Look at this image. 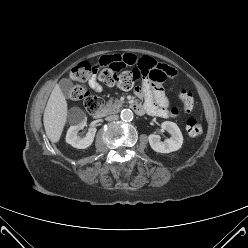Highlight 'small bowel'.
<instances>
[{"instance_id":"obj_1","label":"small bowel","mask_w":248,"mask_h":248,"mask_svg":"<svg viewBox=\"0 0 248 248\" xmlns=\"http://www.w3.org/2000/svg\"><path fill=\"white\" fill-rule=\"evenodd\" d=\"M100 63L107 65L113 69H123L130 67H138L143 72H155L157 78L172 77L176 75L173 68L158 63L151 57H138L134 53L126 52L122 54L107 55L101 58ZM89 86L96 92L102 91V85L98 82L95 76L88 80ZM138 97L144 100L143 112L160 118H168L170 113L169 100L166 97L161 86H153L149 80H144L141 87L136 90Z\"/></svg>"}]
</instances>
